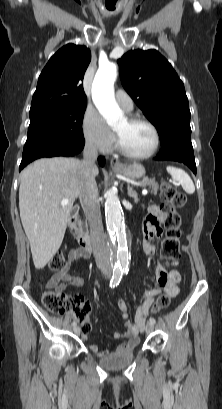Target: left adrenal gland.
<instances>
[{"instance_id":"obj_1","label":"left adrenal gland","mask_w":222,"mask_h":409,"mask_svg":"<svg viewBox=\"0 0 222 409\" xmlns=\"http://www.w3.org/2000/svg\"><path fill=\"white\" fill-rule=\"evenodd\" d=\"M127 191H128V196L133 198L135 203H138L139 201L138 194L135 190H133V188L130 185H128Z\"/></svg>"}]
</instances>
